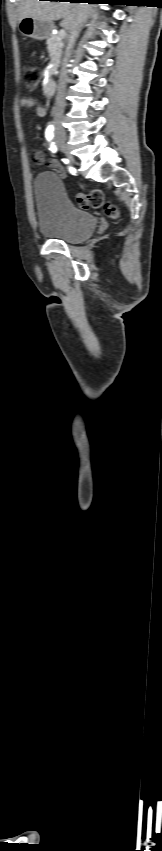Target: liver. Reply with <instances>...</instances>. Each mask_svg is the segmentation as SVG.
<instances>
[{
    "label": "liver",
    "instance_id": "1",
    "mask_svg": "<svg viewBox=\"0 0 162 851\" xmlns=\"http://www.w3.org/2000/svg\"><path fill=\"white\" fill-rule=\"evenodd\" d=\"M83 10L87 12L88 17L94 12L93 6L87 3L20 0L18 18L20 21L25 17H32L51 23L63 19L61 26L71 31L77 24L79 13Z\"/></svg>",
    "mask_w": 162,
    "mask_h": 851
}]
</instances>
